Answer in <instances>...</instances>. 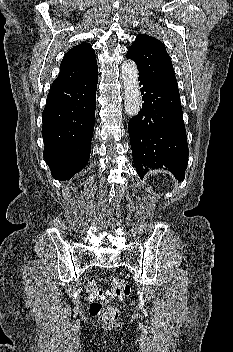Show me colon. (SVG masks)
<instances>
[{"label":"colon","instance_id":"1","mask_svg":"<svg viewBox=\"0 0 233 352\" xmlns=\"http://www.w3.org/2000/svg\"><path fill=\"white\" fill-rule=\"evenodd\" d=\"M131 292L130 284L123 279L116 278L112 280L108 289L100 287L95 279H91L87 284L90 314L106 322L116 320L119 311L111 302L116 299L126 298L130 296Z\"/></svg>","mask_w":233,"mask_h":352}]
</instances>
